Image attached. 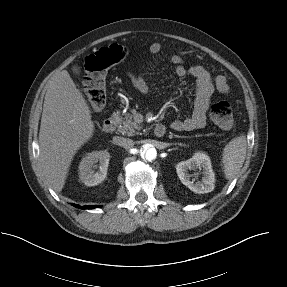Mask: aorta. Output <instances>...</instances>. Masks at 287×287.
I'll return each mask as SVG.
<instances>
[{
    "label": "aorta",
    "instance_id": "1",
    "mask_svg": "<svg viewBox=\"0 0 287 287\" xmlns=\"http://www.w3.org/2000/svg\"><path fill=\"white\" fill-rule=\"evenodd\" d=\"M141 157L151 162L156 159L157 157V150L151 144H145L140 149Z\"/></svg>",
    "mask_w": 287,
    "mask_h": 287
}]
</instances>
